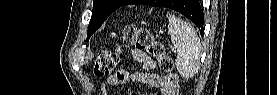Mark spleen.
I'll return each instance as SVG.
<instances>
[{
  "label": "spleen",
  "mask_w": 277,
  "mask_h": 95,
  "mask_svg": "<svg viewBox=\"0 0 277 95\" xmlns=\"http://www.w3.org/2000/svg\"><path fill=\"white\" fill-rule=\"evenodd\" d=\"M166 17L172 44L177 49L176 68L182 77L192 78L200 66V39L195 29L184 20L168 14Z\"/></svg>",
  "instance_id": "obj_1"
}]
</instances>
